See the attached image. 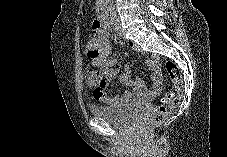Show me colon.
<instances>
[{
	"instance_id": "colon-1",
	"label": "colon",
	"mask_w": 227,
	"mask_h": 157,
	"mask_svg": "<svg viewBox=\"0 0 227 157\" xmlns=\"http://www.w3.org/2000/svg\"><path fill=\"white\" fill-rule=\"evenodd\" d=\"M165 69L171 79L174 91H168L164 95L162 103L156 106L148 125L161 123L179 104V94L183 89L181 72L172 61L165 63ZM86 82L90 87L97 88L101 84V76L97 72L89 70L86 73Z\"/></svg>"
}]
</instances>
